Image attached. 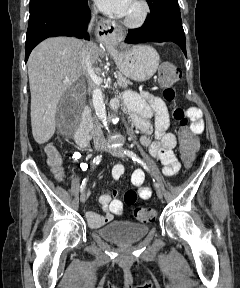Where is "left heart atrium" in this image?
I'll return each instance as SVG.
<instances>
[{
  "mask_svg": "<svg viewBox=\"0 0 240 288\" xmlns=\"http://www.w3.org/2000/svg\"><path fill=\"white\" fill-rule=\"evenodd\" d=\"M98 7L107 14L126 16L133 0H94Z\"/></svg>",
  "mask_w": 240,
  "mask_h": 288,
  "instance_id": "obj_1",
  "label": "left heart atrium"
}]
</instances>
